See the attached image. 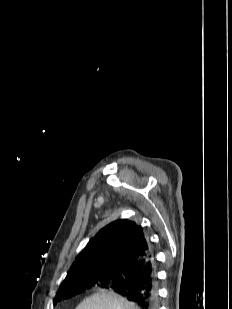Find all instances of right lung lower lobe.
I'll list each match as a JSON object with an SVG mask.
<instances>
[{
  "instance_id": "obj_1",
  "label": "right lung lower lobe",
  "mask_w": 232,
  "mask_h": 309,
  "mask_svg": "<svg viewBox=\"0 0 232 309\" xmlns=\"http://www.w3.org/2000/svg\"><path fill=\"white\" fill-rule=\"evenodd\" d=\"M125 283L111 285L106 288L136 303L140 309H158V292L156 277V262L154 255L145 261L140 268H133L123 273Z\"/></svg>"
}]
</instances>
